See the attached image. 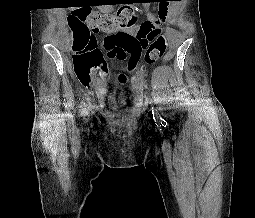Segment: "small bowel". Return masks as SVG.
<instances>
[{
    "instance_id": "1",
    "label": "small bowel",
    "mask_w": 255,
    "mask_h": 218,
    "mask_svg": "<svg viewBox=\"0 0 255 218\" xmlns=\"http://www.w3.org/2000/svg\"><path fill=\"white\" fill-rule=\"evenodd\" d=\"M147 13V17L148 20L153 22L155 25H159L166 16L167 13V8L165 6H160L159 10H158V17L154 16L151 12H149L148 10H146ZM138 29V26H133L131 28L126 29L125 31L130 33V34H134ZM116 33V32H115ZM115 33H107V35L103 38V40L101 41V46L105 48L106 46V40L110 37H112Z\"/></svg>"
}]
</instances>
